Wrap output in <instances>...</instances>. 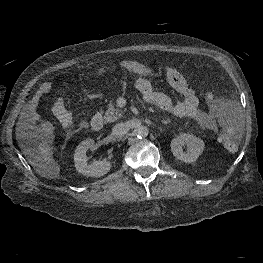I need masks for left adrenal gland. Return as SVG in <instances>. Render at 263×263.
Returning <instances> with one entry per match:
<instances>
[{
	"instance_id": "obj_1",
	"label": "left adrenal gland",
	"mask_w": 263,
	"mask_h": 263,
	"mask_svg": "<svg viewBox=\"0 0 263 263\" xmlns=\"http://www.w3.org/2000/svg\"><path fill=\"white\" fill-rule=\"evenodd\" d=\"M162 123H163V124H168V123H170V120H169V119L163 120Z\"/></svg>"
}]
</instances>
